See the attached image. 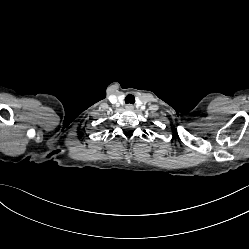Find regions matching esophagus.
I'll return each mask as SVG.
<instances>
[{
    "label": "esophagus",
    "instance_id": "obj_1",
    "mask_svg": "<svg viewBox=\"0 0 249 249\" xmlns=\"http://www.w3.org/2000/svg\"><path fill=\"white\" fill-rule=\"evenodd\" d=\"M125 108H126L127 110H133L134 106H133L132 104H127V105L125 106Z\"/></svg>",
    "mask_w": 249,
    "mask_h": 249
}]
</instances>
